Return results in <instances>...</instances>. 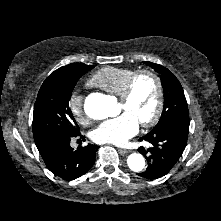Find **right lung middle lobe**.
<instances>
[{
    "mask_svg": "<svg viewBox=\"0 0 221 221\" xmlns=\"http://www.w3.org/2000/svg\"><path fill=\"white\" fill-rule=\"evenodd\" d=\"M94 66L71 63L55 70L42 84L34 106V140L49 135L71 136L79 133L69 107L78 80Z\"/></svg>",
    "mask_w": 221,
    "mask_h": 221,
    "instance_id": "right-lung-middle-lobe-1",
    "label": "right lung middle lobe"
}]
</instances>
